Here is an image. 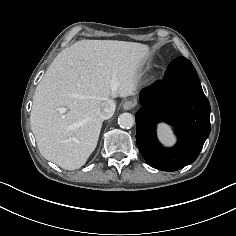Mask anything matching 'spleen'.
Wrapping results in <instances>:
<instances>
[{"label": "spleen", "mask_w": 236, "mask_h": 236, "mask_svg": "<svg viewBox=\"0 0 236 236\" xmlns=\"http://www.w3.org/2000/svg\"><path fill=\"white\" fill-rule=\"evenodd\" d=\"M158 136L162 143L165 145H172L175 142V136L169 125L161 123L158 126Z\"/></svg>", "instance_id": "3e777b00"}]
</instances>
